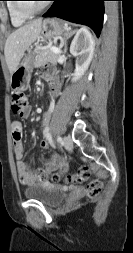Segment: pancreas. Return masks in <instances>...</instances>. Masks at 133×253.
Returning a JSON list of instances; mask_svg holds the SVG:
<instances>
[{
	"instance_id": "pancreas-1",
	"label": "pancreas",
	"mask_w": 133,
	"mask_h": 253,
	"mask_svg": "<svg viewBox=\"0 0 133 253\" xmlns=\"http://www.w3.org/2000/svg\"><path fill=\"white\" fill-rule=\"evenodd\" d=\"M34 55V67H39L46 63L56 64L59 58V54L54 53L51 50V46L36 48Z\"/></svg>"
}]
</instances>
